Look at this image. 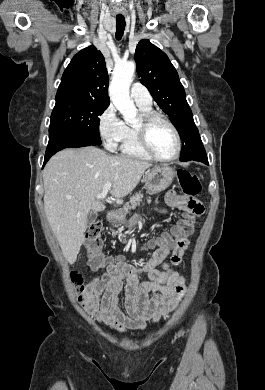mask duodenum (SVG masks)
I'll return each mask as SVG.
<instances>
[{
	"label": "duodenum",
	"mask_w": 265,
	"mask_h": 390,
	"mask_svg": "<svg viewBox=\"0 0 265 390\" xmlns=\"http://www.w3.org/2000/svg\"><path fill=\"white\" fill-rule=\"evenodd\" d=\"M119 216L116 212L110 211L107 213L106 219L109 223L116 222L118 220Z\"/></svg>",
	"instance_id": "410a0bca"
}]
</instances>
